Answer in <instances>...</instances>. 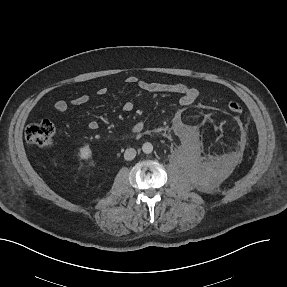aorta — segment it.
<instances>
[{
  "label": "aorta",
  "instance_id": "762f6f07",
  "mask_svg": "<svg viewBox=\"0 0 287 287\" xmlns=\"http://www.w3.org/2000/svg\"><path fill=\"white\" fill-rule=\"evenodd\" d=\"M142 151L145 154H150L153 151V145L149 142L144 143L142 146Z\"/></svg>",
  "mask_w": 287,
  "mask_h": 287
}]
</instances>
